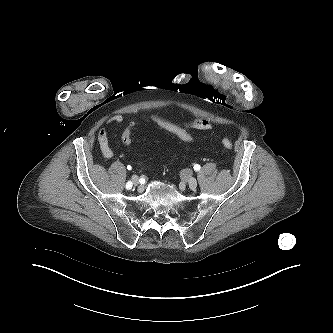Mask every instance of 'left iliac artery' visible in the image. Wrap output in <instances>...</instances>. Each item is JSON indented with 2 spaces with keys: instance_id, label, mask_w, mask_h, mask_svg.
Segmentation results:
<instances>
[{
  "instance_id": "obj_1",
  "label": "left iliac artery",
  "mask_w": 333,
  "mask_h": 333,
  "mask_svg": "<svg viewBox=\"0 0 333 333\" xmlns=\"http://www.w3.org/2000/svg\"><path fill=\"white\" fill-rule=\"evenodd\" d=\"M200 168H201V167H200V165H199V164H195V165H194V170H195V171H199V170H200Z\"/></svg>"
}]
</instances>
